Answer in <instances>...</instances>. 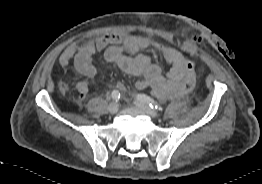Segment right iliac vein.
Returning a JSON list of instances; mask_svg holds the SVG:
<instances>
[{
	"label": "right iliac vein",
	"instance_id": "1",
	"mask_svg": "<svg viewBox=\"0 0 262 184\" xmlns=\"http://www.w3.org/2000/svg\"><path fill=\"white\" fill-rule=\"evenodd\" d=\"M108 111L111 114H115L118 111V104L116 102H112L109 106H108Z\"/></svg>",
	"mask_w": 262,
	"mask_h": 184
}]
</instances>
